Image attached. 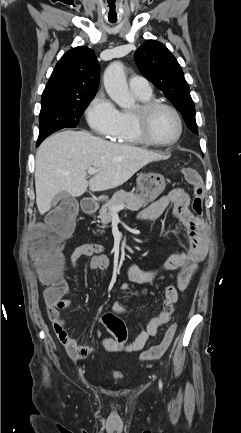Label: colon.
<instances>
[{"label": "colon", "instance_id": "colon-1", "mask_svg": "<svg viewBox=\"0 0 241 433\" xmlns=\"http://www.w3.org/2000/svg\"><path fill=\"white\" fill-rule=\"evenodd\" d=\"M187 180L194 185L192 207L195 213L202 212L204 188L195 170L183 171ZM81 207L77 200H58L55 211L48 217V227L42 234L36 233L32 243L31 253L36 262L37 272L41 280L48 286L44 292L46 301L53 304L63 296L65 282L61 276L63 239L69 236L74 225V214H80ZM190 276L182 273L178 277V286L184 291L190 281ZM103 327L110 330L114 337L113 347L116 352L124 351L127 344V333L124 322L117 312L101 315ZM176 332V326L171 325L165 332L161 342L144 351L141 360L158 359L171 345Z\"/></svg>", "mask_w": 241, "mask_h": 433}]
</instances>
